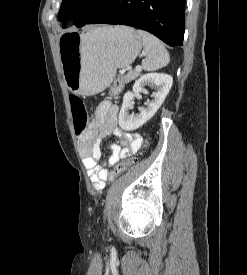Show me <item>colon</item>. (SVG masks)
Masks as SVG:
<instances>
[{
  "mask_svg": "<svg viewBox=\"0 0 247 275\" xmlns=\"http://www.w3.org/2000/svg\"><path fill=\"white\" fill-rule=\"evenodd\" d=\"M122 89L121 80H116L113 87V94H118ZM70 105L73 117L74 130L77 135H81L87 126L88 121V112L84 101L76 96L71 95ZM138 161L137 156H132L128 159L122 160L119 162L115 168L110 172L108 180L110 182L114 181L119 175L124 173L131 165L135 164Z\"/></svg>",
  "mask_w": 247,
  "mask_h": 275,
  "instance_id": "obj_1",
  "label": "colon"
}]
</instances>
